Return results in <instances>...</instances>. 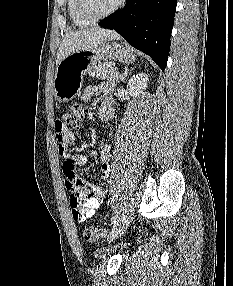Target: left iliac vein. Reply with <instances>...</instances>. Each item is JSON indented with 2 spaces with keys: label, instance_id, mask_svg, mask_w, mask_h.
<instances>
[{
  "label": "left iliac vein",
  "instance_id": "obj_1",
  "mask_svg": "<svg viewBox=\"0 0 233 286\" xmlns=\"http://www.w3.org/2000/svg\"><path fill=\"white\" fill-rule=\"evenodd\" d=\"M130 220L131 216L129 212L119 217L116 224L113 225V228L108 235V240L111 242L121 236L128 228Z\"/></svg>",
  "mask_w": 233,
  "mask_h": 286
}]
</instances>
